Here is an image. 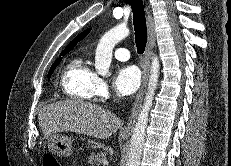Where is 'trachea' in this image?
<instances>
[{
	"mask_svg": "<svg viewBox=\"0 0 231 166\" xmlns=\"http://www.w3.org/2000/svg\"><path fill=\"white\" fill-rule=\"evenodd\" d=\"M133 11V25L135 31V43L138 54H143L147 41V26L144 5L142 0H129Z\"/></svg>",
	"mask_w": 231,
	"mask_h": 166,
	"instance_id": "3493384b",
	"label": "trachea"
}]
</instances>
